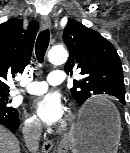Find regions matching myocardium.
<instances>
[{
  "label": "myocardium",
  "instance_id": "f54148a6",
  "mask_svg": "<svg viewBox=\"0 0 130 153\" xmlns=\"http://www.w3.org/2000/svg\"><path fill=\"white\" fill-rule=\"evenodd\" d=\"M73 119H74V116L71 113H68L66 121L63 123L62 127L66 128L67 126H69L72 123Z\"/></svg>",
  "mask_w": 130,
  "mask_h": 153
}]
</instances>
